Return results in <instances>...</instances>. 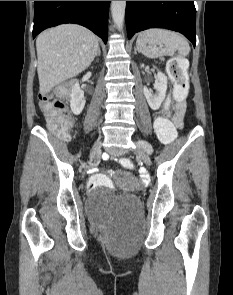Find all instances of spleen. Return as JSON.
Here are the masks:
<instances>
[{
    "label": "spleen",
    "instance_id": "3e777b00",
    "mask_svg": "<svg viewBox=\"0 0 233 295\" xmlns=\"http://www.w3.org/2000/svg\"><path fill=\"white\" fill-rule=\"evenodd\" d=\"M163 45L164 47H162ZM136 46L148 58L172 56L176 50L180 56L185 57L190 51V46L183 36L161 28H152L141 32L137 38Z\"/></svg>",
    "mask_w": 233,
    "mask_h": 295
}]
</instances>
